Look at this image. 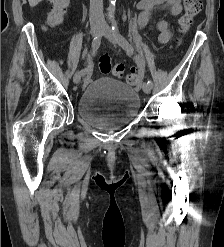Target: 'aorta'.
I'll return each instance as SVG.
<instances>
[{"instance_id": "aorta-1", "label": "aorta", "mask_w": 224, "mask_h": 247, "mask_svg": "<svg viewBox=\"0 0 224 247\" xmlns=\"http://www.w3.org/2000/svg\"><path fill=\"white\" fill-rule=\"evenodd\" d=\"M115 2L116 0H110L109 12L111 14V18H114Z\"/></svg>"}]
</instances>
